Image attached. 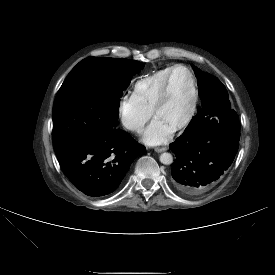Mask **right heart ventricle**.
Here are the masks:
<instances>
[{
  "label": "right heart ventricle",
  "mask_w": 275,
  "mask_h": 275,
  "mask_svg": "<svg viewBox=\"0 0 275 275\" xmlns=\"http://www.w3.org/2000/svg\"><path fill=\"white\" fill-rule=\"evenodd\" d=\"M172 67L160 69L138 80L133 86L132 96L143 107L153 110L159 92Z\"/></svg>",
  "instance_id": "1"
}]
</instances>
